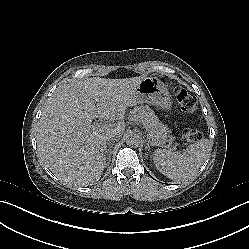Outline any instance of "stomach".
Returning <instances> with one entry per match:
<instances>
[{"instance_id":"obj_1","label":"stomach","mask_w":249,"mask_h":249,"mask_svg":"<svg viewBox=\"0 0 249 249\" xmlns=\"http://www.w3.org/2000/svg\"><path fill=\"white\" fill-rule=\"evenodd\" d=\"M137 103H147L158 109L168 110L171 104L170 93L158 78L147 77L134 89L133 104Z\"/></svg>"}]
</instances>
